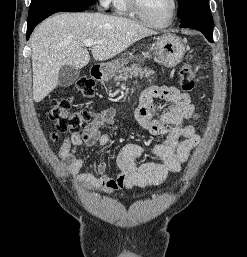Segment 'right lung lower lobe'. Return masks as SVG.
<instances>
[{"label": "right lung lower lobe", "mask_w": 247, "mask_h": 257, "mask_svg": "<svg viewBox=\"0 0 247 257\" xmlns=\"http://www.w3.org/2000/svg\"><path fill=\"white\" fill-rule=\"evenodd\" d=\"M88 7V5L82 4H52L29 12L26 33L27 39H29L35 26L48 16L57 12H80L86 10Z\"/></svg>", "instance_id": "1"}]
</instances>
